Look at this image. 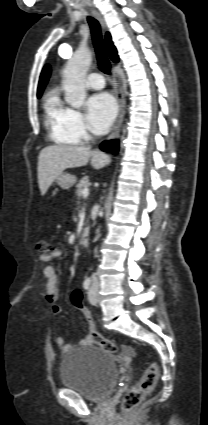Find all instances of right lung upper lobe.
<instances>
[{
	"label": "right lung upper lobe",
	"mask_w": 208,
	"mask_h": 425,
	"mask_svg": "<svg viewBox=\"0 0 208 425\" xmlns=\"http://www.w3.org/2000/svg\"><path fill=\"white\" fill-rule=\"evenodd\" d=\"M105 40H106V44H107V47H108V50H109V54H110L111 59L114 62H117L119 60V57H118V54H117V50H116L115 46L112 43L111 35H110L109 32L106 33ZM49 76H50V67L47 65V66H45L43 68L42 73L40 75V80H39V85H38V92H37V96L38 97L41 96V94H42V92L44 90V87H45V85H46V83L48 81Z\"/></svg>",
	"instance_id": "right-lung-upper-lobe-1"
}]
</instances>
